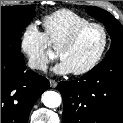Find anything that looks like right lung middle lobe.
Instances as JSON below:
<instances>
[{
    "label": "right lung middle lobe",
    "instance_id": "1",
    "mask_svg": "<svg viewBox=\"0 0 123 123\" xmlns=\"http://www.w3.org/2000/svg\"><path fill=\"white\" fill-rule=\"evenodd\" d=\"M34 16L33 6L1 7V46L20 51L21 33Z\"/></svg>",
    "mask_w": 123,
    "mask_h": 123
}]
</instances>
